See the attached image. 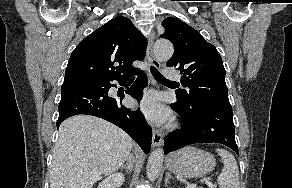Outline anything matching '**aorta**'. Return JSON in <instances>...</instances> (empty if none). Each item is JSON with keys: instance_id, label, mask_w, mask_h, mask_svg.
I'll use <instances>...</instances> for the list:
<instances>
[{"instance_id": "aorta-1", "label": "aorta", "mask_w": 292, "mask_h": 188, "mask_svg": "<svg viewBox=\"0 0 292 188\" xmlns=\"http://www.w3.org/2000/svg\"><path fill=\"white\" fill-rule=\"evenodd\" d=\"M174 52L173 45L170 41L167 40H158L154 45V54L155 58L160 62L168 61ZM164 159V151L162 148L155 149L147 163V177L150 180L156 179L161 171L162 164Z\"/></svg>"}]
</instances>
